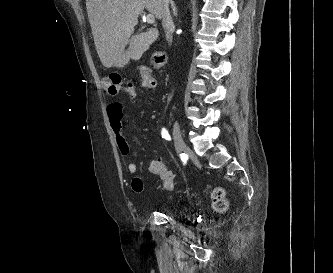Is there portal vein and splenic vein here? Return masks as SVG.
<instances>
[{
    "instance_id": "portal-vein-and-splenic-vein-1",
    "label": "portal vein and splenic vein",
    "mask_w": 333,
    "mask_h": 273,
    "mask_svg": "<svg viewBox=\"0 0 333 273\" xmlns=\"http://www.w3.org/2000/svg\"><path fill=\"white\" fill-rule=\"evenodd\" d=\"M145 21L149 24H154L155 23V17L153 14H147L145 15Z\"/></svg>"
}]
</instances>
